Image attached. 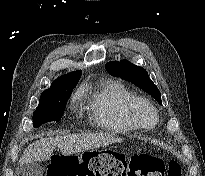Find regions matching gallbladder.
Returning a JSON list of instances; mask_svg holds the SVG:
<instances>
[{"label":"gallbladder","instance_id":"1","mask_svg":"<svg viewBox=\"0 0 205 176\" xmlns=\"http://www.w3.org/2000/svg\"><path fill=\"white\" fill-rule=\"evenodd\" d=\"M43 168L36 162L20 164L17 168V176H42Z\"/></svg>","mask_w":205,"mask_h":176}]
</instances>
